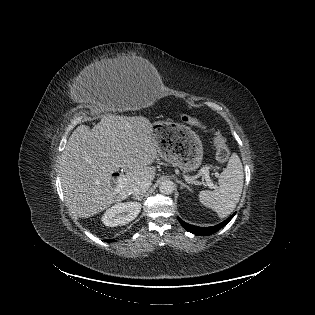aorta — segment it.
Masks as SVG:
<instances>
[{"label": "aorta", "instance_id": "aorta-1", "mask_svg": "<svg viewBox=\"0 0 315 315\" xmlns=\"http://www.w3.org/2000/svg\"><path fill=\"white\" fill-rule=\"evenodd\" d=\"M159 190L162 194L170 195L174 191V183L169 180L163 181L159 186Z\"/></svg>", "mask_w": 315, "mask_h": 315}]
</instances>
